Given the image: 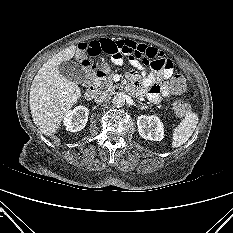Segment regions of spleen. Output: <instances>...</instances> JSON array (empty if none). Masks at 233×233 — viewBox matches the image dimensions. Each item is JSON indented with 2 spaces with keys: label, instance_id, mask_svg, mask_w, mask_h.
Instances as JSON below:
<instances>
[{
  "label": "spleen",
  "instance_id": "obj_1",
  "mask_svg": "<svg viewBox=\"0 0 233 233\" xmlns=\"http://www.w3.org/2000/svg\"><path fill=\"white\" fill-rule=\"evenodd\" d=\"M199 118L197 113L187 112L185 118L174 129L172 136V147L177 148L183 145L192 136Z\"/></svg>",
  "mask_w": 233,
  "mask_h": 233
}]
</instances>
